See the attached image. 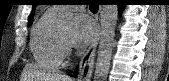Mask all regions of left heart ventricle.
<instances>
[{"mask_svg": "<svg viewBox=\"0 0 169 81\" xmlns=\"http://www.w3.org/2000/svg\"><path fill=\"white\" fill-rule=\"evenodd\" d=\"M61 35H62L66 40H68L69 37H70V30L62 31V32H61Z\"/></svg>", "mask_w": 169, "mask_h": 81, "instance_id": "obj_1", "label": "left heart ventricle"}]
</instances>
